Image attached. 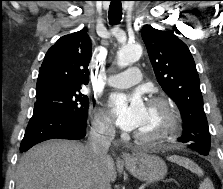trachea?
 I'll use <instances>...</instances> for the list:
<instances>
[{
	"label": "trachea",
	"mask_w": 223,
	"mask_h": 189,
	"mask_svg": "<svg viewBox=\"0 0 223 189\" xmlns=\"http://www.w3.org/2000/svg\"><path fill=\"white\" fill-rule=\"evenodd\" d=\"M108 18L111 25L119 24L122 19L121 0H111L108 12Z\"/></svg>",
	"instance_id": "obj_1"
}]
</instances>
